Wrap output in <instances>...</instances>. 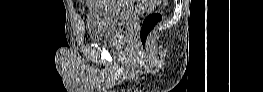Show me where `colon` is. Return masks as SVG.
Instances as JSON below:
<instances>
[{"label":"colon","instance_id":"colon-1","mask_svg":"<svg viewBox=\"0 0 263 92\" xmlns=\"http://www.w3.org/2000/svg\"><path fill=\"white\" fill-rule=\"evenodd\" d=\"M162 3L164 7L167 1H159ZM162 20V10L157 9L149 12L144 19L139 28V42L140 48L143 50L147 44V41L154 30V28L161 22Z\"/></svg>","mask_w":263,"mask_h":92}]
</instances>
